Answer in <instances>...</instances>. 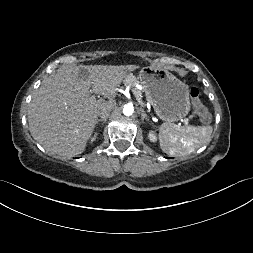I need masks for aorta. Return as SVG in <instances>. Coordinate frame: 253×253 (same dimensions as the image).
Returning <instances> with one entry per match:
<instances>
[{"label":"aorta","instance_id":"1","mask_svg":"<svg viewBox=\"0 0 253 253\" xmlns=\"http://www.w3.org/2000/svg\"><path fill=\"white\" fill-rule=\"evenodd\" d=\"M134 112V108H133V105L131 104H127L124 106L123 108V114L126 115V116H130L132 115Z\"/></svg>","mask_w":253,"mask_h":253}]
</instances>
